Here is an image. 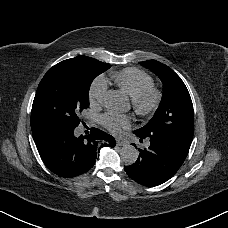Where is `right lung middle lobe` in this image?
Wrapping results in <instances>:
<instances>
[{"instance_id": "obj_1", "label": "right lung middle lobe", "mask_w": 228, "mask_h": 228, "mask_svg": "<svg viewBox=\"0 0 228 228\" xmlns=\"http://www.w3.org/2000/svg\"><path fill=\"white\" fill-rule=\"evenodd\" d=\"M110 68L107 63L84 56L62 61L47 71L32 105L31 128L77 127L78 114L89 107V88L95 77Z\"/></svg>"}]
</instances>
